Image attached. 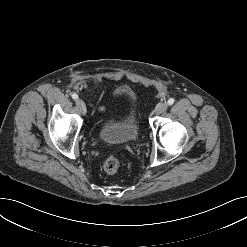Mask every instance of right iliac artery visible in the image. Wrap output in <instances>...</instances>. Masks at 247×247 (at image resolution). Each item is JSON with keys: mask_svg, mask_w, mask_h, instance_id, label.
I'll return each mask as SVG.
<instances>
[{"mask_svg": "<svg viewBox=\"0 0 247 247\" xmlns=\"http://www.w3.org/2000/svg\"><path fill=\"white\" fill-rule=\"evenodd\" d=\"M71 96H72L73 99H78V95L75 94V93H73Z\"/></svg>", "mask_w": 247, "mask_h": 247, "instance_id": "right-iliac-artery-1", "label": "right iliac artery"}]
</instances>
